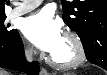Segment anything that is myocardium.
Returning <instances> with one entry per match:
<instances>
[{"label":"myocardium","instance_id":"obj_1","mask_svg":"<svg viewBox=\"0 0 107 75\" xmlns=\"http://www.w3.org/2000/svg\"><path fill=\"white\" fill-rule=\"evenodd\" d=\"M66 37L73 46L74 56L71 60L68 61H58L52 54L49 58L50 64L59 69H69L82 64L86 59V52L80 37L73 31L67 30L64 33Z\"/></svg>","mask_w":107,"mask_h":75}]
</instances>
